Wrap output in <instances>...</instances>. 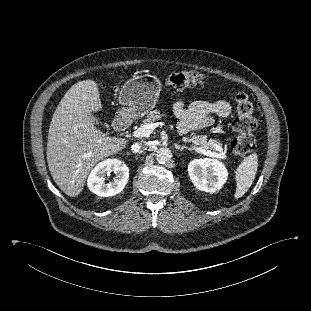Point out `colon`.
I'll list each match as a JSON object with an SVG mask.
<instances>
[{"mask_svg":"<svg viewBox=\"0 0 311 311\" xmlns=\"http://www.w3.org/2000/svg\"><path fill=\"white\" fill-rule=\"evenodd\" d=\"M204 76L196 71H181L169 74L165 85L176 90H183L202 84ZM236 116L232 121V128L237 133L232 141V148L238 155L245 156L255 148L254 131L257 128L254 105L243 92L234 94Z\"/></svg>","mask_w":311,"mask_h":311,"instance_id":"obj_1","label":"colon"}]
</instances>
